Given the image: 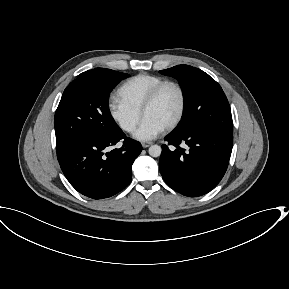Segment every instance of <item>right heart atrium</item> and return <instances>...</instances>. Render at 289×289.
Returning a JSON list of instances; mask_svg holds the SVG:
<instances>
[{
  "mask_svg": "<svg viewBox=\"0 0 289 289\" xmlns=\"http://www.w3.org/2000/svg\"><path fill=\"white\" fill-rule=\"evenodd\" d=\"M108 111L114 122L127 133H132L141 119L140 111L129 107L116 98L109 101Z\"/></svg>",
  "mask_w": 289,
  "mask_h": 289,
  "instance_id": "1",
  "label": "right heart atrium"
}]
</instances>
